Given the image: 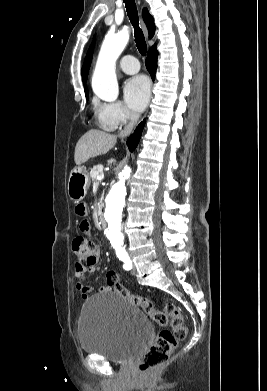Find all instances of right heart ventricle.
Segmentation results:
<instances>
[{"label": "right heart ventricle", "mask_w": 267, "mask_h": 391, "mask_svg": "<svg viewBox=\"0 0 267 391\" xmlns=\"http://www.w3.org/2000/svg\"><path fill=\"white\" fill-rule=\"evenodd\" d=\"M103 127H104V128H107V129H110V128H108V127L104 126V125H103Z\"/></svg>", "instance_id": "e07e8e85"}]
</instances>
